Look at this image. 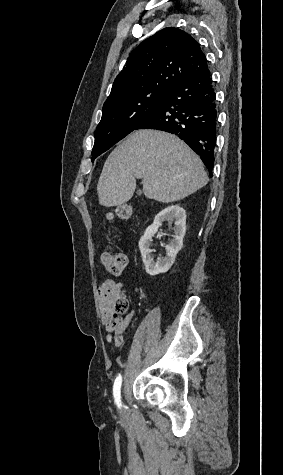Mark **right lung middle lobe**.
Instances as JSON below:
<instances>
[{
    "label": "right lung middle lobe",
    "mask_w": 283,
    "mask_h": 475,
    "mask_svg": "<svg viewBox=\"0 0 283 475\" xmlns=\"http://www.w3.org/2000/svg\"><path fill=\"white\" fill-rule=\"evenodd\" d=\"M168 92H152L104 105L102 118L95 131L92 162L136 129L137 125L158 105Z\"/></svg>",
    "instance_id": "dd1d6c3e"
}]
</instances>
